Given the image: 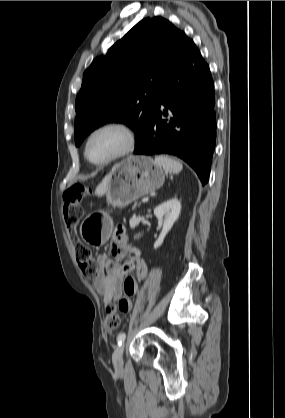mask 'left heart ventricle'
Here are the masks:
<instances>
[{
  "label": "left heart ventricle",
  "mask_w": 285,
  "mask_h": 418,
  "mask_svg": "<svg viewBox=\"0 0 285 418\" xmlns=\"http://www.w3.org/2000/svg\"><path fill=\"white\" fill-rule=\"evenodd\" d=\"M124 135L114 129L97 133L88 145V155L96 162L103 161L115 154L124 144Z\"/></svg>",
  "instance_id": "b2bd125f"
}]
</instances>
